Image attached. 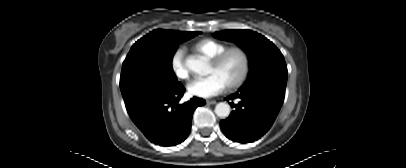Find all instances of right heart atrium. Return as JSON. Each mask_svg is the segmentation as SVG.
Wrapping results in <instances>:
<instances>
[{"label": "right heart atrium", "mask_w": 406, "mask_h": 168, "mask_svg": "<svg viewBox=\"0 0 406 168\" xmlns=\"http://www.w3.org/2000/svg\"><path fill=\"white\" fill-rule=\"evenodd\" d=\"M170 67L176 77L186 80L189 76L186 64V50L183 47L176 49L170 58Z\"/></svg>", "instance_id": "obj_1"}]
</instances>
